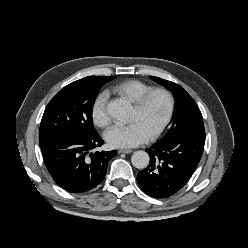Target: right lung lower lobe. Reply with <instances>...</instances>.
Masks as SVG:
<instances>
[{
    "label": "right lung lower lobe",
    "instance_id": "obj_1",
    "mask_svg": "<svg viewBox=\"0 0 248 248\" xmlns=\"http://www.w3.org/2000/svg\"><path fill=\"white\" fill-rule=\"evenodd\" d=\"M103 139L96 134H66L41 146L45 165L53 180L71 193H83L100 184L106 174L113 151L92 153L102 146Z\"/></svg>",
    "mask_w": 248,
    "mask_h": 248
}]
</instances>
